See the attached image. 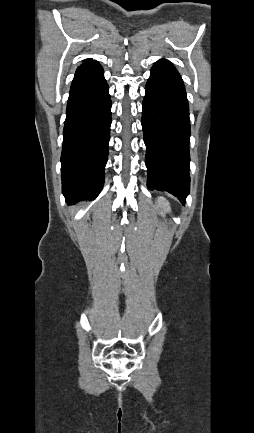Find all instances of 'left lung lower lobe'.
I'll use <instances>...</instances> for the list:
<instances>
[{
    "label": "left lung lower lobe",
    "mask_w": 254,
    "mask_h": 433,
    "mask_svg": "<svg viewBox=\"0 0 254 433\" xmlns=\"http://www.w3.org/2000/svg\"><path fill=\"white\" fill-rule=\"evenodd\" d=\"M142 127L147 187L167 191L184 203L190 190L189 106L183 80L171 62L157 61L145 87Z\"/></svg>",
    "instance_id": "0a47b994"
}]
</instances>
